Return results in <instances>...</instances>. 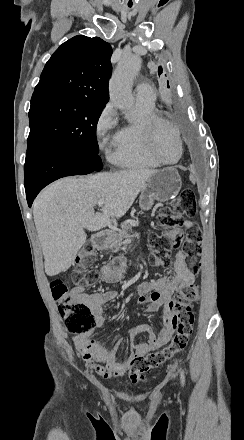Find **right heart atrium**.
I'll return each instance as SVG.
<instances>
[{
    "mask_svg": "<svg viewBox=\"0 0 244 440\" xmlns=\"http://www.w3.org/2000/svg\"><path fill=\"white\" fill-rule=\"evenodd\" d=\"M117 122L116 105L110 101L99 114L95 124V133L103 149H108L112 145L113 131L117 126Z\"/></svg>",
    "mask_w": 244,
    "mask_h": 440,
    "instance_id": "obj_1",
    "label": "right heart atrium"
}]
</instances>
